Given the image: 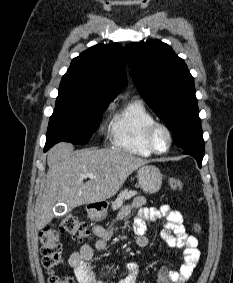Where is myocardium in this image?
<instances>
[{
    "label": "myocardium",
    "mask_w": 233,
    "mask_h": 283,
    "mask_svg": "<svg viewBox=\"0 0 233 283\" xmlns=\"http://www.w3.org/2000/svg\"><path fill=\"white\" fill-rule=\"evenodd\" d=\"M158 130H163L167 137H168V145L164 150H159L156 148L155 144H154V135ZM144 141L145 144L147 146V148L154 154H165L167 153L173 143V136L172 133L170 131V129L168 128V126H166L164 123L155 121L153 123H151L145 130L144 133Z\"/></svg>",
    "instance_id": "obj_1"
}]
</instances>
